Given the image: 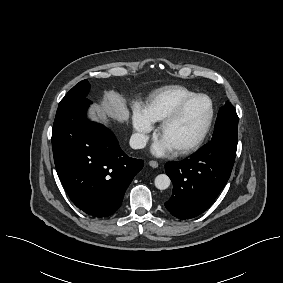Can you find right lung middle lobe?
<instances>
[{
	"label": "right lung middle lobe",
	"instance_id": "1",
	"mask_svg": "<svg viewBox=\"0 0 283 283\" xmlns=\"http://www.w3.org/2000/svg\"><path fill=\"white\" fill-rule=\"evenodd\" d=\"M89 88H90V84L87 80H83L79 82L66 94V96L61 100L58 107L65 106L85 98V96L89 91Z\"/></svg>",
	"mask_w": 283,
	"mask_h": 283
}]
</instances>
